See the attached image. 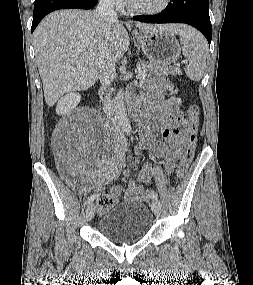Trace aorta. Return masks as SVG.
<instances>
[{
  "instance_id": "obj_1",
  "label": "aorta",
  "mask_w": 253,
  "mask_h": 285,
  "mask_svg": "<svg viewBox=\"0 0 253 285\" xmlns=\"http://www.w3.org/2000/svg\"><path fill=\"white\" fill-rule=\"evenodd\" d=\"M113 105H114V115L118 126L123 130V132L130 133L131 125L125 111L124 92L122 89L118 91Z\"/></svg>"
}]
</instances>
